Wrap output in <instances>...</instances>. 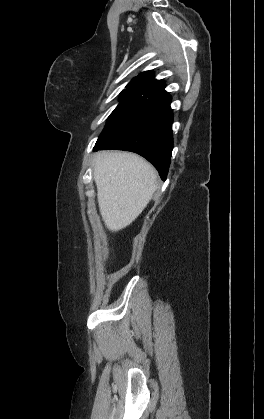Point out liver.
Masks as SVG:
<instances>
[{"mask_svg":"<svg viewBox=\"0 0 264 419\" xmlns=\"http://www.w3.org/2000/svg\"><path fill=\"white\" fill-rule=\"evenodd\" d=\"M100 214L110 231L130 225L151 200L157 173L144 158L130 152L101 151L94 162Z\"/></svg>","mask_w":264,"mask_h":419,"instance_id":"1","label":"liver"}]
</instances>
